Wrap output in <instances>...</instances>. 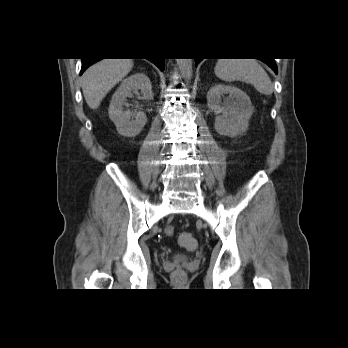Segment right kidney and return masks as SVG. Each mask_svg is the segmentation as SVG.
Here are the masks:
<instances>
[{
	"instance_id": "obj_1",
	"label": "right kidney",
	"mask_w": 348,
	"mask_h": 348,
	"mask_svg": "<svg viewBox=\"0 0 348 348\" xmlns=\"http://www.w3.org/2000/svg\"><path fill=\"white\" fill-rule=\"evenodd\" d=\"M140 92V93H139ZM133 94L142 95V100L153 99L152 85L149 78L144 73H135L122 81L114 95L112 96L108 113L114 122L117 131L126 137L138 135L147 122L146 114L142 111L135 113L125 111L123 106H128L127 98Z\"/></svg>"
}]
</instances>
